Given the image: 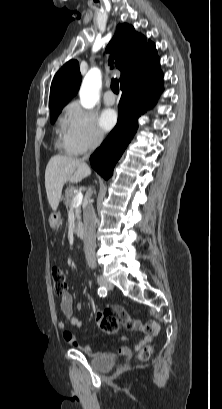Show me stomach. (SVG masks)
<instances>
[{
	"label": "stomach",
	"instance_id": "0dacf381",
	"mask_svg": "<svg viewBox=\"0 0 222 409\" xmlns=\"http://www.w3.org/2000/svg\"><path fill=\"white\" fill-rule=\"evenodd\" d=\"M59 219H60V216H59V215H54V216H52V218L50 219V224H51L53 227L57 226V225H58V222H59Z\"/></svg>",
	"mask_w": 222,
	"mask_h": 409
}]
</instances>
